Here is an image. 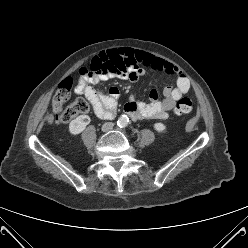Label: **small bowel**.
Instances as JSON below:
<instances>
[{
	"label": "small bowel",
	"instance_id": "c3829d8e",
	"mask_svg": "<svg viewBox=\"0 0 248 248\" xmlns=\"http://www.w3.org/2000/svg\"><path fill=\"white\" fill-rule=\"evenodd\" d=\"M110 53L119 55L127 65L126 70L121 72H106L98 74H89L88 67L82 68L81 78L75 86L74 92L77 95H83L91 103L93 111L101 119H111L114 117L117 100L119 98V89L111 87L108 94H102L93 88V84L106 79H126L136 81L151 74H166L175 78L176 85H166L163 88L162 100H158V92L153 89L150 92L151 102H138L134 98H129L124 106L125 112L134 121L143 119L164 120L172 110L178 100H180L190 88L188 78L173 64L157 58L147 52L136 51L132 49H120L104 53L96 58L101 60Z\"/></svg>",
	"mask_w": 248,
	"mask_h": 248
}]
</instances>
